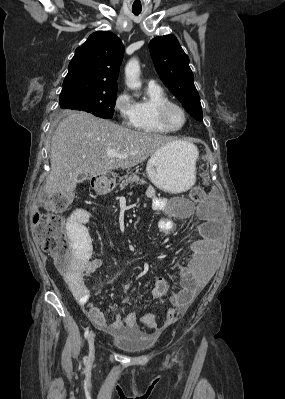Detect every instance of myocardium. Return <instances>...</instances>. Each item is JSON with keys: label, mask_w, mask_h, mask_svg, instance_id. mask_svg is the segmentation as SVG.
Segmentation results:
<instances>
[{"label": "myocardium", "mask_w": 285, "mask_h": 399, "mask_svg": "<svg viewBox=\"0 0 285 399\" xmlns=\"http://www.w3.org/2000/svg\"><path fill=\"white\" fill-rule=\"evenodd\" d=\"M172 109L179 110L183 116V123L179 126L173 125L169 119V113ZM157 119H158L159 124L162 127H164L165 129L170 130V131H178V130H181L184 127V125L186 124L187 114H186L185 109L181 105H179L175 102H172V101H168V102L161 104L157 108Z\"/></svg>", "instance_id": "1"}]
</instances>
